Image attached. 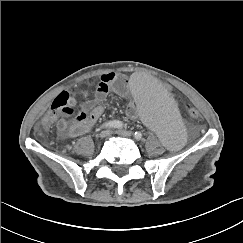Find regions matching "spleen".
Returning a JSON list of instances; mask_svg holds the SVG:
<instances>
[{"label": "spleen", "mask_w": 243, "mask_h": 243, "mask_svg": "<svg viewBox=\"0 0 243 243\" xmlns=\"http://www.w3.org/2000/svg\"><path fill=\"white\" fill-rule=\"evenodd\" d=\"M126 91L135 101L134 113L154 134L159 145L178 151L189 140V129L171 92L154 75L137 71L129 76Z\"/></svg>", "instance_id": "3e777b00"}]
</instances>
